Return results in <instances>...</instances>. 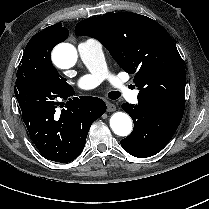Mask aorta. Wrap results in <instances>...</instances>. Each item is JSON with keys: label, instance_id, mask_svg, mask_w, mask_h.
<instances>
[{"label": "aorta", "instance_id": "1", "mask_svg": "<svg viewBox=\"0 0 209 209\" xmlns=\"http://www.w3.org/2000/svg\"><path fill=\"white\" fill-rule=\"evenodd\" d=\"M53 61L62 69L72 67L77 61V51L69 43H61L53 50ZM110 127L116 135L128 136L133 128L130 116L124 112H116L110 118Z\"/></svg>", "mask_w": 209, "mask_h": 209}]
</instances>
